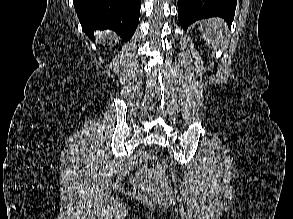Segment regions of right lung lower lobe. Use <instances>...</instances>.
Instances as JSON below:
<instances>
[{"mask_svg":"<svg viewBox=\"0 0 293 219\" xmlns=\"http://www.w3.org/2000/svg\"><path fill=\"white\" fill-rule=\"evenodd\" d=\"M83 31L94 40V30H114L123 41L134 34L141 0H73Z\"/></svg>","mask_w":293,"mask_h":219,"instance_id":"obj_1","label":"right lung lower lobe"}]
</instances>
